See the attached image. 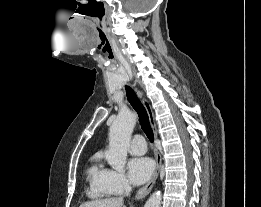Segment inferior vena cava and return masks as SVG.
I'll return each instance as SVG.
<instances>
[{
  "instance_id": "obj_1",
  "label": "inferior vena cava",
  "mask_w": 261,
  "mask_h": 207,
  "mask_svg": "<svg viewBox=\"0 0 261 207\" xmlns=\"http://www.w3.org/2000/svg\"><path fill=\"white\" fill-rule=\"evenodd\" d=\"M131 190H132L131 186L128 183H126V185H125V196H128L130 194Z\"/></svg>"
}]
</instances>
